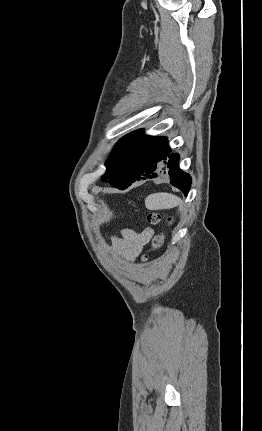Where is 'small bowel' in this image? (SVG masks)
<instances>
[{"instance_id": "small-bowel-1", "label": "small bowel", "mask_w": 262, "mask_h": 431, "mask_svg": "<svg viewBox=\"0 0 262 431\" xmlns=\"http://www.w3.org/2000/svg\"><path fill=\"white\" fill-rule=\"evenodd\" d=\"M122 239L116 240V245L121 248L130 261L136 260L142 247L150 240L152 231L145 229L142 232H135L131 229L121 231Z\"/></svg>"}]
</instances>
